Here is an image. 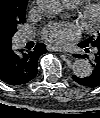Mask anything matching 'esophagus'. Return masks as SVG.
<instances>
[{
  "mask_svg": "<svg viewBox=\"0 0 100 118\" xmlns=\"http://www.w3.org/2000/svg\"><path fill=\"white\" fill-rule=\"evenodd\" d=\"M47 50H48V51H58V52H62V53H65V54H66L65 51H63V50H61V49H58V48H56V47L50 46V45L47 46Z\"/></svg>",
  "mask_w": 100,
  "mask_h": 118,
  "instance_id": "obj_1",
  "label": "esophagus"
}]
</instances>
